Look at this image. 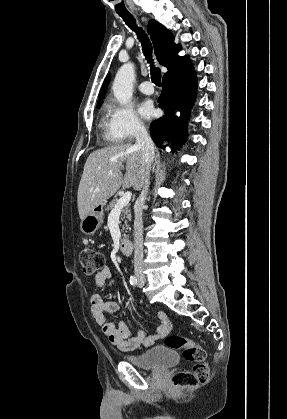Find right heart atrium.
I'll use <instances>...</instances> for the list:
<instances>
[{
  "instance_id": "obj_1",
  "label": "right heart atrium",
  "mask_w": 287,
  "mask_h": 419,
  "mask_svg": "<svg viewBox=\"0 0 287 419\" xmlns=\"http://www.w3.org/2000/svg\"><path fill=\"white\" fill-rule=\"evenodd\" d=\"M110 114L112 130L120 140H131L144 131L143 122L131 105H113Z\"/></svg>"
}]
</instances>
